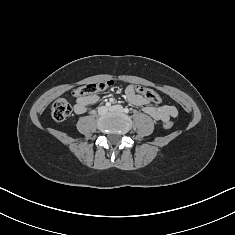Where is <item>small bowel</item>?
Segmentation results:
<instances>
[{
    "instance_id": "1",
    "label": "small bowel",
    "mask_w": 235,
    "mask_h": 235,
    "mask_svg": "<svg viewBox=\"0 0 235 235\" xmlns=\"http://www.w3.org/2000/svg\"><path fill=\"white\" fill-rule=\"evenodd\" d=\"M127 100L136 106H142L145 113L151 116L154 120L163 123L168 122L171 118L177 116V109L172 105H151L143 96L136 93L133 86H128L125 90ZM97 95H88L76 98L74 104V111L77 114H83L87 111L88 107L98 101Z\"/></svg>"
}]
</instances>
